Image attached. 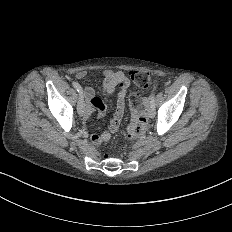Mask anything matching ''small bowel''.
<instances>
[{"instance_id":"c3829d8e","label":"small bowel","mask_w":232,"mask_h":232,"mask_svg":"<svg viewBox=\"0 0 232 232\" xmlns=\"http://www.w3.org/2000/svg\"><path fill=\"white\" fill-rule=\"evenodd\" d=\"M77 79L84 80L87 77L86 70L79 69L75 72ZM100 81L102 84V89L105 93H108L112 88L118 86L120 87V94L117 101V110L113 118L111 131L115 132L118 130V124L120 122L122 111L124 107V97L127 89L130 86V79L127 74L119 70L113 72L110 69H105L101 72ZM84 94L87 99V107L85 109V117H89L93 113H96L99 117H103L105 114V106L103 105L101 99L96 95V91L92 86H86L84 88ZM109 133L95 134L92 136V141L96 145H100L110 139Z\"/></svg>"}]
</instances>
